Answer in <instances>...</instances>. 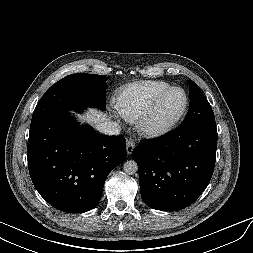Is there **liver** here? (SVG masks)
I'll return each mask as SVG.
<instances>
[{
    "label": "liver",
    "mask_w": 253,
    "mask_h": 253,
    "mask_svg": "<svg viewBox=\"0 0 253 253\" xmlns=\"http://www.w3.org/2000/svg\"><path fill=\"white\" fill-rule=\"evenodd\" d=\"M80 120L86 121L97 127V124L107 121V116L105 113L101 111H97L95 109H89L86 112V115H78Z\"/></svg>",
    "instance_id": "6515ba94"
}]
</instances>
